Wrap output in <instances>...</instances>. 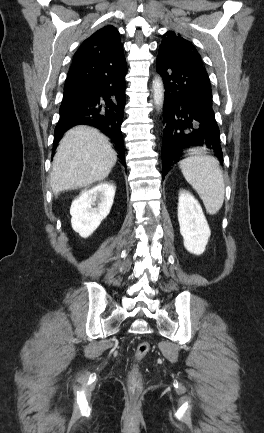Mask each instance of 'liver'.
<instances>
[{
  "label": "liver",
  "mask_w": 264,
  "mask_h": 433,
  "mask_svg": "<svg viewBox=\"0 0 264 433\" xmlns=\"http://www.w3.org/2000/svg\"><path fill=\"white\" fill-rule=\"evenodd\" d=\"M117 160L107 137L87 126L65 133L53 158L50 175L54 195L105 179Z\"/></svg>",
  "instance_id": "obj_1"
}]
</instances>
